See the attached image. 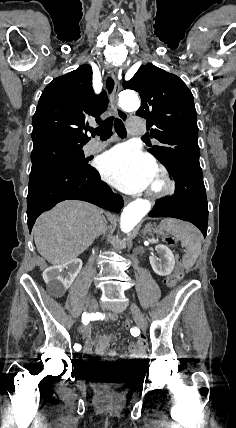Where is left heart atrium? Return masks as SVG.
<instances>
[{"instance_id": "left-heart-atrium-1", "label": "left heart atrium", "mask_w": 236, "mask_h": 428, "mask_svg": "<svg viewBox=\"0 0 236 428\" xmlns=\"http://www.w3.org/2000/svg\"><path fill=\"white\" fill-rule=\"evenodd\" d=\"M154 169L153 162L145 154L128 145H119L108 151L100 165L104 180L131 194H139L149 187Z\"/></svg>"}]
</instances>
